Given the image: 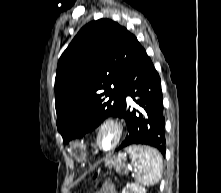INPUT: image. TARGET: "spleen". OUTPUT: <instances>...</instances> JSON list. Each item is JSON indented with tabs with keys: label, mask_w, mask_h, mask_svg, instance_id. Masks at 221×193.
Returning a JSON list of instances; mask_svg holds the SVG:
<instances>
[{
	"label": "spleen",
	"mask_w": 221,
	"mask_h": 193,
	"mask_svg": "<svg viewBox=\"0 0 221 193\" xmlns=\"http://www.w3.org/2000/svg\"><path fill=\"white\" fill-rule=\"evenodd\" d=\"M132 164L136 172V180L146 186L159 182L162 172V157L159 152L150 146H129Z\"/></svg>",
	"instance_id": "3e777b00"
}]
</instances>
